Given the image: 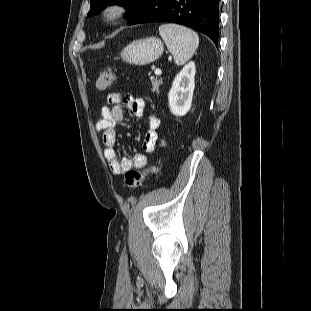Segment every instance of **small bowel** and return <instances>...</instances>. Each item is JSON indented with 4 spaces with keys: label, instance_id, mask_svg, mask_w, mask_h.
<instances>
[{
    "label": "small bowel",
    "instance_id": "1",
    "mask_svg": "<svg viewBox=\"0 0 311 311\" xmlns=\"http://www.w3.org/2000/svg\"><path fill=\"white\" fill-rule=\"evenodd\" d=\"M124 107H127L134 115L140 117L145 111V101L130 94L110 93L95 122L96 131L102 133L104 155L114 175L123 174L131 169H142L147 164V156L145 154H136L133 158H118L115 150V126L124 121ZM146 120L148 129L144 136L143 148L147 153H152L158 140L157 129L160 126V120L154 114H148ZM161 144L162 146L166 145L164 141Z\"/></svg>",
    "mask_w": 311,
    "mask_h": 311
}]
</instances>
